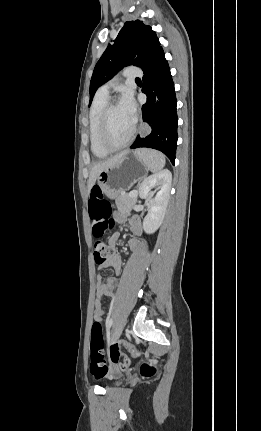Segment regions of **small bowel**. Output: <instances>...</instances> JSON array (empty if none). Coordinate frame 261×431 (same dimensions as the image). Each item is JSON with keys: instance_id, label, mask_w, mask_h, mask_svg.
<instances>
[{"instance_id": "1", "label": "small bowel", "mask_w": 261, "mask_h": 431, "mask_svg": "<svg viewBox=\"0 0 261 431\" xmlns=\"http://www.w3.org/2000/svg\"><path fill=\"white\" fill-rule=\"evenodd\" d=\"M120 221H124L125 218L123 216H119ZM130 231L134 235H139L141 233V222L140 219L135 216L128 220ZM119 240V234L114 233L112 234L108 242L111 246H116L118 244ZM129 246L133 251H140L145 248V245L143 242L136 238H132L129 240ZM99 268H106V267H113L117 272L121 270V260L117 253H113L111 257H109L106 261L103 263L98 264ZM115 286H116V279L115 278H108L106 281L103 280L102 276L100 274L97 275V283H96V291L99 295V300H104V296L112 297L115 293ZM105 315V309L103 308L102 304L97 302L95 304L94 312H93V318L94 321L102 322ZM107 375V373H106Z\"/></svg>"}]
</instances>
